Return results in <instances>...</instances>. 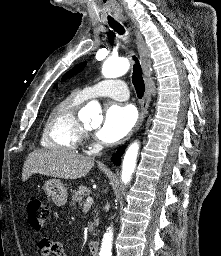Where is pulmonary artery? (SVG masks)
Masks as SVG:
<instances>
[{
    "label": "pulmonary artery",
    "mask_w": 221,
    "mask_h": 256,
    "mask_svg": "<svg viewBox=\"0 0 221 256\" xmlns=\"http://www.w3.org/2000/svg\"><path fill=\"white\" fill-rule=\"evenodd\" d=\"M80 92L86 99L110 97L124 101L127 100L129 96L126 83L120 79L103 80L92 86L85 87Z\"/></svg>",
    "instance_id": "1"
}]
</instances>
